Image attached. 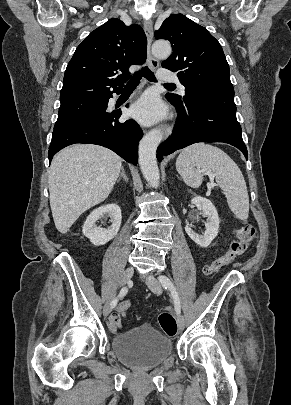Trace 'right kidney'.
Returning a JSON list of instances; mask_svg holds the SVG:
<instances>
[{
    "mask_svg": "<svg viewBox=\"0 0 291 405\" xmlns=\"http://www.w3.org/2000/svg\"><path fill=\"white\" fill-rule=\"evenodd\" d=\"M104 215H109L111 218L112 224L107 229L96 226V221ZM121 220V209L117 204L103 205L90 213L84 222L82 231L92 244L104 245L117 235Z\"/></svg>",
    "mask_w": 291,
    "mask_h": 405,
    "instance_id": "right-kidney-1",
    "label": "right kidney"
}]
</instances>
